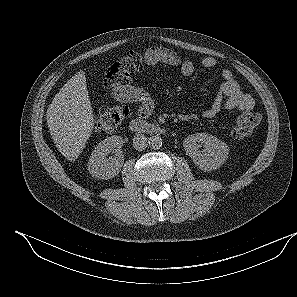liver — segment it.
Segmentation results:
<instances>
[{
  "instance_id": "6515ba94",
  "label": "liver",
  "mask_w": 297,
  "mask_h": 297,
  "mask_svg": "<svg viewBox=\"0 0 297 297\" xmlns=\"http://www.w3.org/2000/svg\"><path fill=\"white\" fill-rule=\"evenodd\" d=\"M46 116L58 151L67 160H76L94 127L84 71H79L60 89L49 105Z\"/></svg>"
}]
</instances>
